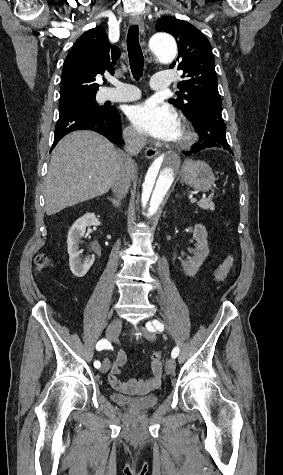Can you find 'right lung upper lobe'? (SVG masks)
Returning a JSON list of instances; mask_svg holds the SVG:
<instances>
[{"instance_id": "right-lung-upper-lobe-1", "label": "right lung upper lobe", "mask_w": 283, "mask_h": 475, "mask_svg": "<svg viewBox=\"0 0 283 475\" xmlns=\"http://www.w3.org/2000/svg\"><path fill=\"white\" fill-rule=\"evenodd\" d=\"M119 56V48L109 43L102 26L88 30L79 37L64 61L61 91L96 93L99 89L97 75L114 74Z\"/></svg>"}]
</instances>
